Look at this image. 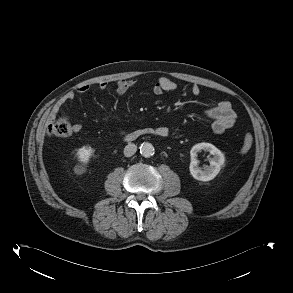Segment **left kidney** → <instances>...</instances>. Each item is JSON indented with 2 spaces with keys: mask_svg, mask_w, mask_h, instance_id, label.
<instances>
[{
  "mask_svg": "<svg viewBox=\"0 0 293 293\" xmlns=\"http://www.w3.org/2000/svg\"><path fill=\"white\" fill-rule=\"evenodd\" d=\"M201 150L208 151L211 155H213L210 160V165L204 167L203 170L198 167V160L196 159L198 152H200ZM190 155V174L193 176L194 179L199 181L206 182L214 179L220 172L225 162L224 154L210 143L203 142L194 145L190 151Z\"/></svg>",
  "mask_w": 293,
  "mask_h": 293,
  "instance_id": "5707ae66",
  "label": "left kidney"
}]
</instances>
